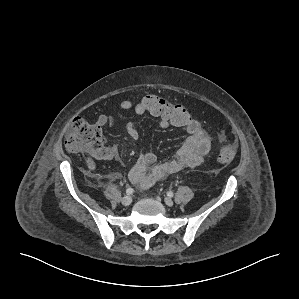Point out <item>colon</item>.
Here are the masks:
<instances>
[{
    "label": "colon",
    "mask_w": 299,
    "mask_h": 299,
    "mask_svg": "<svg viewBox=\"0 0 299 299\" xmlns=\"http://www.w3.org/2000/svg\"><path fill=\"white\" fill-rule=\"evenodd\" d=\"M146 113L168 122L175 127H185L195 118L183 105L175 104L166 99L148 93L140 99ZM65 147L69 152H85L89 155L88 164H92V158L103 147V137L99 127L90 124L82 118L73 120L66 134ZM236 156V147L225 138L218 141L217 157L223 164H228Z\"/></svg>",
    "instance_id": "colon-1"
}]
</instances>
